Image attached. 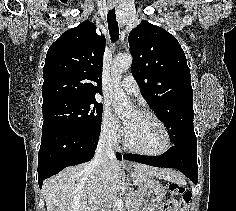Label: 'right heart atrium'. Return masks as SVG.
<instances>
[{"instance_id":"d8ad5b80","label":"right heart atrium","mask_w":236,"mask_h":211,"mask_svg":"<svg viewBox=\"0 0 236 211\" xmlns=\"http://www.w3.org/2000/svg\"><path fill=\"white\" fill-rule=\"evenodd\" d=\"M100 136L109 145L117 146L122 139V128L109 107H105L100 124Z\"/></svg>"}]
</instances>
